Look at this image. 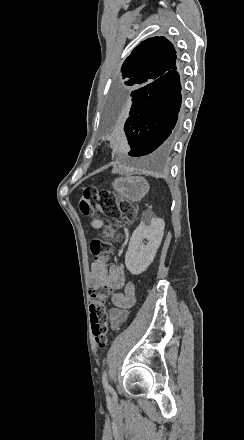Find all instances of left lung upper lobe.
Wrapping results in <instances>:
<instances>
[{
	"label": "left lung upper lobe",
	"instance_id": "5c2ea615",
	"mask_svg": "<svg viewBox=\"0 0 244 440\" xmlns=\"http://www.w3.org/2000/svg\"><path fill=\"white\" fill-rule=\"evenodd\" d=\"M176 65V51L165 37L142 41L133 49L121 67V76L128 86L149 84Z\"/></svg>",
	"mask_w": 244,
	"mask_h": 440
}]
</instances>
